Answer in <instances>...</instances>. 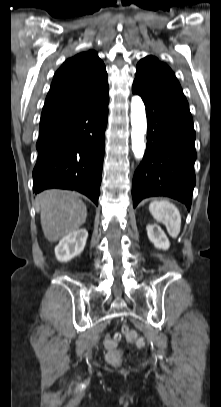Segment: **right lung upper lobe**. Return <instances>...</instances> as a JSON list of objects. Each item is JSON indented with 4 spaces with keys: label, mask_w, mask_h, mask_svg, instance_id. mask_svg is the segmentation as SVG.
Wrapping results in <instances>:
<instances>
[{
    "label": "right lung upper lobe",
    "mask_w": 221,
    "mask_h": 407,
    "mask_svg": "<svg viewBox=\"0 0 221 407\" xmlns=\"http://www.w3.org/2000/svg\"><path fill=\"white\" fill-rule=\"evenodd\" d=\"M108 89L105 65L97 53H79L55 73L41 116L85 105Z\"/></svg>",
    "instance_id": "obj_1"
}]
</instances>
